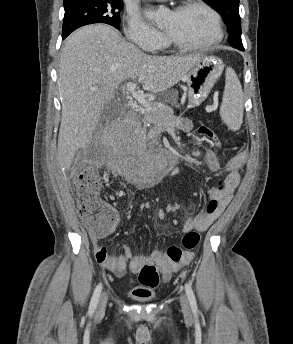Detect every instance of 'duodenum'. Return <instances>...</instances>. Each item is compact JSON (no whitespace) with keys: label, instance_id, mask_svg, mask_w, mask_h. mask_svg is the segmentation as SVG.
<instances>
[{"label":"duodenum","instance_id":"duodenum-1","mask_svg":"<svg viewBox=\"0 0 293 344\" xmlns=\"http://www.w3.org/2000/svg\"><path fill=\"white\" fill-rule=\"evenodd\" d=\"M133 114L131 112H127L126 118L132 119ZM168 158V166H178L182 163V158L175 153H167Z\"/></svg>","mask_w":293,"mask_h":344}]
</instances>
